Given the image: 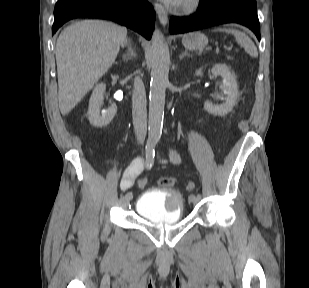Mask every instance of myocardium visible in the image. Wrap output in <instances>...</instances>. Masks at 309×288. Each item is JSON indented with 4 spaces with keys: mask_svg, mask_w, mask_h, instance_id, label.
I'll return each instance as SVG.
<instances>
[{
    "mask_svg": "<svg viewBox=\"0 0 309 288\" xmlns=\"http://www.w3.org/2000/svg\"><path fill=\"white\" fill-rule=\"evenodd\" d=\"M201 0H182L178 5V11L182 13H193L199 9Z\"/></svg>",
    "mask_w": 309,
    "mask_h": 288,
    "instance_id": "myocardium-1",
    "label": "myocardium"
}]
</instances>
